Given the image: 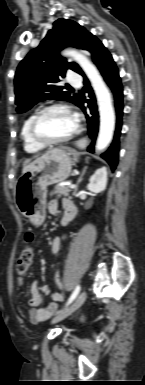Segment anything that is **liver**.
Returning a JSON list of instances; mask_svg holds the SVG:
<instances>
[{"mask_svg": "<svg viewBox=\"0 0 145 385\" xmlns=\"http://www.w3.org/2000/svg\"><path fill=\"white\" fill-rule=\"evenodd\" d=\"M32 164H33V163L24 166V168H23V170H22V174H25V173L28 171V169L30 168V166H31Z\"/></svg>", "mask_w": 145, "mask_h": 385, "instance_id": "1", "label": "liver"}]
</instances>
